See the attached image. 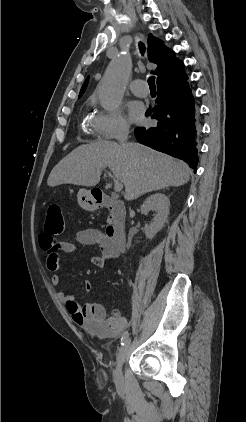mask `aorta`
Wrapping results in <instances>:
<instances>
[{"label": "aorta", "mask_w": 246, "mask_h": 422, "mask_svg": "<svg viewBox=\"0 0 246 422\" xmlns=\"http://www.w3.org/2000/svg\"><path fill=\"white\" fill-rule=\"evenodd\" d=\"M131 72V58L121 52L110 62L98 91L100 104L107 111H114L120 105Z\"/></svg>", "instance_id": "762f6f07"}]
</instances>
